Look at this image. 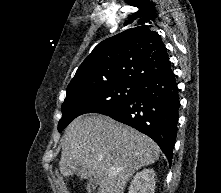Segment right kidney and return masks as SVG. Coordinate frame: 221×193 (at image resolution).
<instances>
[{
	"label": "right kidney",
	"instance_id": "ca27d5eb",
	"mask_svg": "<svg viewBox=\"0 0 221 193\" xmlns=\"http://www.w3.org/2000/svg\"><path fill=\"white\" fill-rule=\"evenodd\" d=\"M155 184L154 170L144 169L133 177L128 193H154Z\"/></svg>",
	"mask_w": 221,
	"mask_h": 193
}]
</instances>
